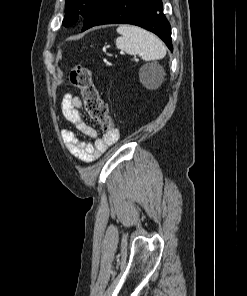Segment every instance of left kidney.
<instances>
[{
  "instance_id": "5707ae66",
  "label": "left kidney",
  "mask_w": 247,
  "mask_h": 296,
  "mask_svg": "<svg viewBox=\"0 0 247 296\" xmlns=\"http://www.w3.org/2000/svg\"><path fill=\"white\" fill-rule=\"evenodd\" d=\"M141 82L143 83V84H146V79H145V76H141Z\"/></svg>"
}]
</instances>
